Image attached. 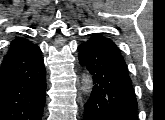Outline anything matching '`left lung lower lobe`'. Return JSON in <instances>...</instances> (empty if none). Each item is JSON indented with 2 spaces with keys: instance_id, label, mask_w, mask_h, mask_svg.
I'll list each match as a JSON object with an SVG mask.
<instances>
[{
  "instance_id": "0a47b994",
  "label": "left lung lower lobe",
  "mask_w": 165,
  "mask_h": 120,
  "mask_svg": "<svg viewBox=\"0 0 165 120\" xmlns=\"http://www.w3.org/2000/svg\"><path fill=\"white\" fill-rule=\"evenodd\" d=\"M78 50L79 62L93 75L94 84L83 120H138L132 81L116 44L91 34Z\"/></svg>"
}]
</instances>
